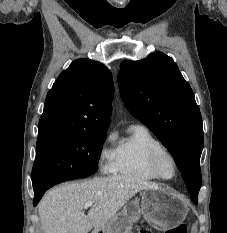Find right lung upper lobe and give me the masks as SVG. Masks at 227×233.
I'll return each instance as SVG.
<instances>
[{"mask_svg": "<svg viewBox=\"0 0 227 233\" xmlns=\"http://www.w3.org/2000/svg\"><path fill=\"white\" fill-rule=\"evenodd\" d=\"M114 85L110 70L90 59H77L47 94L38 133L56 129L107 130Z\"/></svg>", "mask_w": 227, "mask_h": 233, "instance_id": "obj_1", "label": "right lung upper lobe"}]
</instances>
